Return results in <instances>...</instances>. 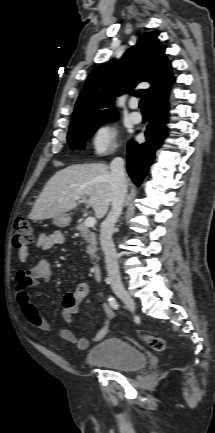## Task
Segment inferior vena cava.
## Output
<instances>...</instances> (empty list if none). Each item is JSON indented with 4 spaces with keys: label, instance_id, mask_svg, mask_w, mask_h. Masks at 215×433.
<instances>
[{
    "label": "inferior vena cava",
    "instance_id": "inferior-vena-cava-1",
    "mask_svg": "<svg viewBox=\"0 0 215 433\" xmlns=\"http://www.w3.org/2000/svg\"><path fill=\"white\" fill-rule=\"evenodd\" d=\"M110 184L112 208L100 228V243L105 254L106 269L112 289L115 292L124 291L121 281L118 257L112 241L115 223L122 213L123 204L127 193L124 160L116 157L110 164Z\"/></svg>",
    "mask_w": 215,
    "mask_h": 433
}]
</instances>
